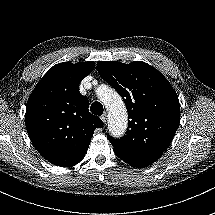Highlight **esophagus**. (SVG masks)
Wrapping results in <instances>:
<instances>
[{"instance_id": "34e87169", "label": "esophagus", "mask_w": 215, "mask_h": 215, "mask_svg": "<svg viewBox=\"0 0 215 215\" xmlns=\"http://www.w3.org/2000/svg\"><path fill=\"white\" fill-rule=\"evenodd\" d=\"M101 120L103 121V123L105 124L106 123V120H107V114L106 113H103L102 115H101Z\"/></svg>"}]
</instances>
